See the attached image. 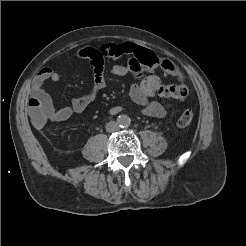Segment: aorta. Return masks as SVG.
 I'll use <instances>...</instances> for the list:
<instances>
[{
  "label": "aorta",
  "instance_id": "762f6f07",
  "mask_svg": "<svg viewBox=\"0 0 246 246\" xmlns=\"http://www.w3.org/2000/svg\"><path fill=\"white\" fill-rule=\"evenodd\" d=\"M118 124L120 126H128L130 124V118L127 115H121L118 118Z\"/></svg>",
  "mask_w": 246,
  "mask_h": 246
}]
</instances>
